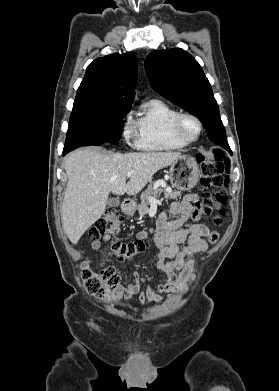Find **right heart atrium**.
Returning <instances> with one entry per match:
<instances>
[{
	"instance_id": "1",
	"label": "right heart atrium",
	"mask_w": 279,
	"mask_h": 391,
	"mask_svg": "<svg viewBox=\"0 0 279 391\" xmlns=\"http://www.w3.org/2000/svg\"><path fill=\"white\" fill-rule=\"evenodd\" d=\"M122 134H123V137L127 143L133 144L132 143L133 131H132V125H131V113L130 112H128L123 118ZM135 144H136V142H135Z\"/></svg>"
}]
</instances>
